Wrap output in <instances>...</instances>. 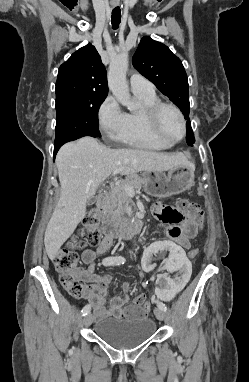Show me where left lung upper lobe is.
Segmentation results:
<instances>
[{
    "mask_svg": "<svg viewBox=\"0 0 249 382\" xmlns=\"http://www.w3.org/2000/svg\"><path fill=\"white\" fill-rule=\"evenodd\" d=\"M134 67L164 95L176 104L187 119L186 141L193 146L195 142L189 120L190 104L187 75L180 59L164 44L142 38L134 56Z\"/></svg>",
    "mask_w": 249,
    "mask_h": 382,
    "instance_id": "5c2ea615",
    "label": "left lung upper lobe"
}]
</instances>
